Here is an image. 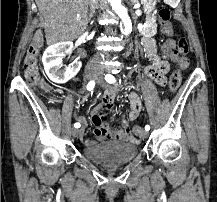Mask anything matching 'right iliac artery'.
I'll return each mask as SVG.
<instances>
[{"mask_svg": "<svg viewBox=\"0 0 217 202\" xmlns=\"http://www.w3.org/2000/svg\"><path fill=\"white\" fill-rule=\"evenodd\" d=\"M94 86H95V81H94V80L90 81V82L87 84V90H89V91L93 90ZM80 126H81V125H80V123H78V122L74 124V127H75V128H79Z\"/></svg>", "mask_w": 217, "mask_h": 202, "instance_id": "right-iliac-artery-1", "label": "right iliac artery"}]
</instances>
